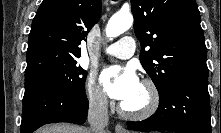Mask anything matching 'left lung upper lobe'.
Returning <instances> with one entry per match:
<instances>
[{
	"instance_id": "5c2ea615",
	"label": "left lung upper lobe",
	"mask_w": 221,
	"mask_h": 133,
	"mask_svg": "<svg viewBox=\"0 0 221 133\" xmlns=\"http://www.w3.org/2000/svg\"><path fill=\"white\" fill-rule=\"evenodd\" d=\"M140 61L159 94L184 76L208 78L195 0H131Z\"/></svg>"
}]
</instances>
